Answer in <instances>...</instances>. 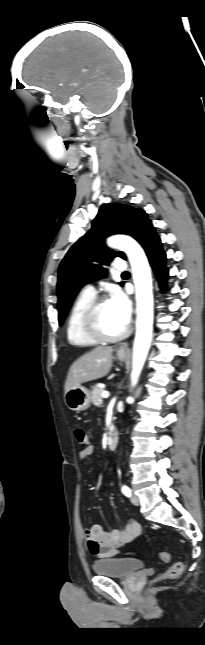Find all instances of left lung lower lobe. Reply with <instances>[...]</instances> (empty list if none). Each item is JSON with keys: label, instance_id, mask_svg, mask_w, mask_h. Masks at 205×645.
<instances>
[{"label": "left lung lower lobe", "instance_id": "obj_1", "mask_svg": "<svg viewBox=\"0 0 205 645\" xmlns=\"http://www.w3.org/2000/svg\"><path fill=\"white\" fill-rule=\"evenodd\" d=\"M140 244L144 248L151 267L158 279L160 288L166 289V280L168 277V269L166 268V253L162 249V243L157 235L155 228L151 226L146 232Z\"/></svg>", "mask_w": 205, "mask_h": 645}]
</instances>
